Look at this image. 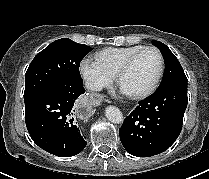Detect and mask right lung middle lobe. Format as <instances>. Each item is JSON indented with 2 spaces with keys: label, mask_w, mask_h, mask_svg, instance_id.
<instances>
[{
  "label": "right lung middle lobe",
  "mask_w": 209,
  "mask_h": 179,
  "mask_svg": "<svg viewBox=\"0 0 209 179\" xmlns=\"http://www.w3.org/2000/svg\"><path fill=\"white\" fill-rule=\"evenodd\" d=\"M91 50L87 45L63 38L39 52L26 72L25 106L53 87L83 84L79 66Z\"/></svg>",
  "instance_id": "obj_1"
}]
</instances>
